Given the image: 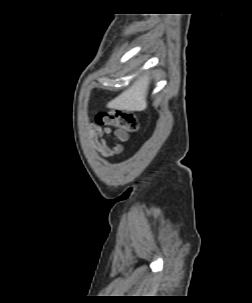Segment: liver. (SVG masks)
Wrapping results in <instances>:
<instances>
[{
    "instance_id": "6515ba94",
    "label": "liver",
    "mask_w": 252,
    "mask_h": 303,
    "mask_svg": "<svg viewBox=\"0 0 252 303\" xmlns=\"http://www.w3.org/2000/svg\"><path fill=\"white\" fill-rule=\"evenodd\" d=\"M150 77L140 76L131 87L107 104L111 109L126 111H144L147 107V94Z\"/></svg>"
}]
</instances>
